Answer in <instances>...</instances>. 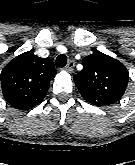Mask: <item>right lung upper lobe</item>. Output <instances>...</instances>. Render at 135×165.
Returning <instances> with one entry per match:
<instances>
[{"mask_svg": "<svg viewBox=\"0 0 135 165\" xmlns=\"http://www.w3.org/2000/svg\"><path fill=\"white\" fill-rule=\"evenodd\" d=\"M55 75L52 60L40 58L31 51L22 53L1 72L3 95L14 108L31 109L43 100Z\"/></svg>", "mask_w": 135, "mask_h": 165, "instance_id": "obj_1", "label": "right lung upper lobe"}]
</instances>
